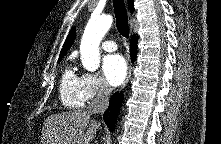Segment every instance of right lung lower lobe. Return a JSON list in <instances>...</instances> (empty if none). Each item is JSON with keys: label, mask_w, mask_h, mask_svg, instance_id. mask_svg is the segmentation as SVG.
<instances>
[{"label": "right lung lower lobe", "mask_w": 221, "mask_h": 144, "mask_svg": "<svg viewBox=\"0 0 221 144\" xmlns=\"http://www.w3.org/2000/svg\"><path fill=\"white\" fill-rule=\"evenodd\" d=\"M130 43H131L130 45L131 59L132 61H134L137 51V40L135 35L132 36ZM122 100H123L122 93L119 94L116 92L115 94H113V96L110 99L109 107L103 115L104 121L111 131H113L115 128L116 117L118 116L120 107L122 105Z\"/></svg>", "instance_id": "1"}]
</instances>
